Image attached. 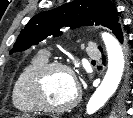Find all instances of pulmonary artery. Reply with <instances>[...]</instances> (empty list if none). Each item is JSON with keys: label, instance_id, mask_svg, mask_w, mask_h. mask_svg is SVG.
Listing matches in <instances>:
<instances>
[{"label": "pulmonary artery", "instance_id": "obj_1", "mask_svg": "<svg viewBox=\"0 0 133 118\" xmlns=\"http://www.w3.org/2000/svg\"><path fill=\"white\" fill-rule=\"evenodd\" d=\"M88 56L92 59L100 58V52L93 46L88 48Z\"/></svg>", "mask_w": 133, "mask_h": 118}]
</instances>
